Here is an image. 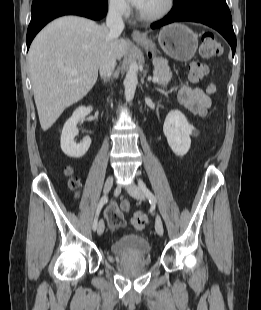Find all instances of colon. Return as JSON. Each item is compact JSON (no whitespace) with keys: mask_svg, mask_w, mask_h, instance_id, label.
<instances>
[{"mask_svg":"<svg viewBox=\"0 0 261 310\" xmlns=\"http://www.w3.org/2000/svg\"><path fill=\"white\" fill-rule=\"evenodd\" d=\"M221 45L216 40L215 36L212 33L206 32L202 34L201 38V46L200 53L203 57L210 58L214 56H218L221 53ZM207 72V68L203 63L196 62L193 63L190 67L189 77L193 82L199 81ZM216 90L213 84H210L208 87V91L210 93H214ZM67 174L70 176L69 178V187L72 190H76L80 182L79 180L72 176V169L67 168ZM106 218L110 226L112 227H126L127 221L124 220V215L122 211L119 209V202L117 200H111L109 204L106 205ZM131 223L134 228L141 230L146 227L148 224V217L146 214L142 212H136L132 216Z\"/></svg>","mask_w":261,"mask_h":310,"instance_id":"1","label":"colon"}]
</instances>
